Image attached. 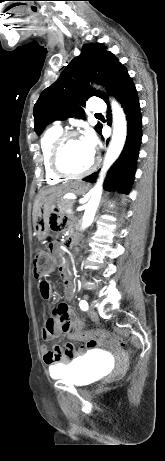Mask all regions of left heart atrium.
Returning a JSON list of instances; mask_svg holds the SVG:
<instances>
[{
	"label": "left heart atrium",
	"instance_id": "39dd6f15",
	"mask_svg": "<svg viewBox=\"0 0 165 461\" xmlns=\"http://www.w3.org/2000/svg\"><path fill=\"white\" fill-rule=\"evenodd\" d=\"M89 150L94 154L96 149V138L92 132H87L83 137H81Z\"/></svg>",
	"mask_w": 165,
	"mask_h": 461
}]
</instances>
